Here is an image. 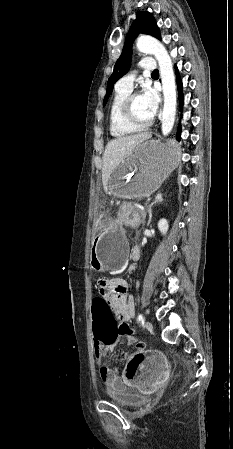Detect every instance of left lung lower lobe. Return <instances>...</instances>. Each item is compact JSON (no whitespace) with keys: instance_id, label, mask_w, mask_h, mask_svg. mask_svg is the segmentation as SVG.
<instances>
[{"instance_id":"1","label":"left lung lower lobe","mask_w":233,"mask_h":449,"mask_svg":"<svg viewBox=\"0 0 233 449\" xmlns=\"http://www.w3.org/2000/svg\"><path fill=\"white\" fill-rule=\"evenodd\" d=\"M175 69H176V78H177V87H178V96H179L180 108L182 110V106H183L182 81L180 79L177 67H175ZM176 138H177L178 141L181 140V125L180 124H179L178 129H177Z\"/></svg>"}]
</instances>
